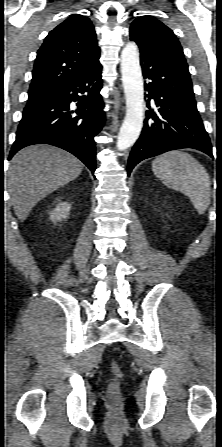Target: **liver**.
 <instances>
[{"label":"liver","mask_w":222,"mask_h":447,"mask_svg":"<svg viewBox=\"0 0 222 447\" xmlns=\"http://www.w3.org/2000/svg\"><path fill=\"white\" fill-rule=\"evenodd\" d=\"M82 170L79 159L53 146L33 145L20 150L7 173L16 216L24 221L40 200L77 178Z\"/></svg>","instance_id":"6515ba94"}]
</instances>
